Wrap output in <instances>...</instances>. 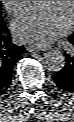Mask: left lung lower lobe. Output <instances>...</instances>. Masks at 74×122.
Instances as JSON below:
<instances>
[{
  "instance_id": "0a47b994",
  "label": "left lung lower lobe",
  "mask_w": 74,
  "mask_h": 122,
  "mask_svg": "<svg viewBox=\"0 0 74 122\" xmlns=\"http://www.w3.org/2000/svg\"><path fill=\"white\" fill-rule=\"evenodd\" d=\"M74 45V34L69 37ZM58 88L68 93H74V54L66 55V64L62 70L53 75Z\"/></svg>"
}]
</instances>
